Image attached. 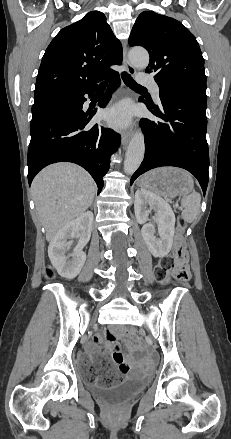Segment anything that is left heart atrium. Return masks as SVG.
I'll use <instances>...</instances> for the list:
<instances>
[{
  "instance_id": "left-heart-atrium-1",
  "label": "left heart atrium",
  "mask_w": 231,
  "mask_h": 439,
  "mask_svg": "<svg viewBox=\"0 0 231 439\" xmlns=\"http://www.w3.org/2000/svg\"><path fill=\"white\" fill-rule=\"evenodd\" d=\"M104 119L113 127H126L131 122V108L126 103L117 104L105 111Z\"/></svg>"
}]
</instances>
